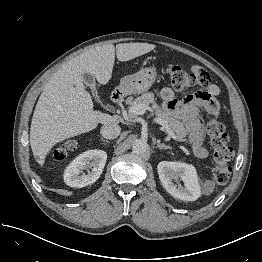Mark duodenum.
I'll return each instance as SVG.
<instances>
[{"instance_id":"duodenum-1","label":"duodenum","mask_w":262,"mask_h":262,"mask_svg":"<svg viewBox=\"0 0 262 262\" xmlns=\"http://www.w3.org/2000/svg\"><path fill=\"white\" fill-rule=\"evenodd\" d=\"M111 98L113 101H119L121 99V93L118 90H113L111 92Z\"/></svg>"}]
</instances>
